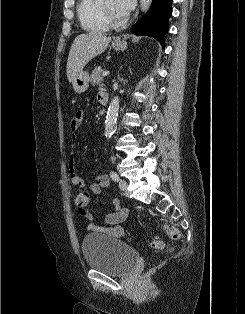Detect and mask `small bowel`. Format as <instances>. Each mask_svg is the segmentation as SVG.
Wrapping results in <instances>:
<instances>
[{
  "label": "small bowel",
  "instance_id": "c3829d8e",
  "mask_svg": "<svg viewBox=\"0 0 245 314\" xmlns=\"http://www.w3.org/2000/svg\"><path fill=\"white\" fill-rule=\"evenodd\" d=\"M100 101V95H99ZM101 102V101H100ZM83 119V112L76 111L70 121V129L72 132L71 143L72 145H76L77 143V135L76 131L78 130ZM69 169V177L73 186L83 188L86 186L85 180L78 174L75 167V156L72 153L68 163ZM94 182H92L88 186V191L94 195H98L101 193L103 189H109L111 187V181L106 175H98L94 178ZM112 204L114 206V210L107 214L102 223L95 222L94 215L85 210L84 212H79L84 218L90 221L87 225V230L91 232H96L99 234H103L107 237L113 239H122L125 235V230L121 226L126 218L128 217L129 210L126 207H121L120 202L117 198L112 200Z\"/></svg>",
  "mask_w": 245,
  "mask_h": 314
}]
</instances>
